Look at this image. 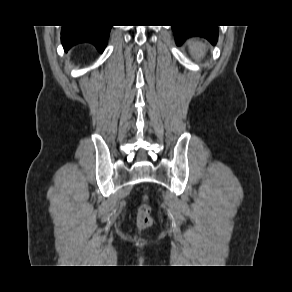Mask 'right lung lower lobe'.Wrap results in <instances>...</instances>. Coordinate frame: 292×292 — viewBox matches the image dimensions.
<instances>
[{
	"mask_svg": "<svg viewBox=\"0 0 292 292\" xmlns=\"http://www.w3.org/2000/svg\"><path fill=\"white\" fill-rule=\"evenodd\" d=\"M109 25L63 26L61 41L65 51L79 43H91L98 51L103 52L109 37Z\"/></svg>",
	"mask_w": 292,
	"mask_h": 292,
	"instance_id": "98d812e1",
	"label": "right lung lower lobe"
}]
</instances>
